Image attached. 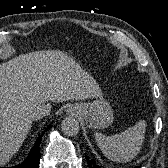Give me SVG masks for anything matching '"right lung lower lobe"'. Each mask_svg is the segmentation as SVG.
Here are the masks:
<instances>
[{"label": "right lung lower lobe", "instance_id": "right-lung-lower-lobe-1", "mask_svg": "<svg viewBox=\"0 0 168 168\" xmlns=\"http://www.w3.org/2000/svg\"><path fill=\"white\" fill-rule=\"evenodd\" d=\"M47 130L48 129H46L45 131H47ZM43 135H44V132H43L42 136ZM40 142H41V137L35 143V146L30 151V154L27 157V159L23 163H21L20 165L14 166L12 168H38L39 160H40V150H39ZM2 168H5V167H2ZM8 168H10V167H8Z\"/></svg>", "mask_w": 168, "mask_h": 168}]
</instances>
